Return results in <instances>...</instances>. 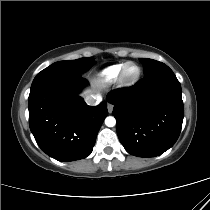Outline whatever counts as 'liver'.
Segmentation results:
<instances>
[{
  "label": "liver",
  "instance_id": "obj_1",
  "mask_svg": "<svg viewBox=\"0 0 210 210\" xmlns=\"http://www.w3.org/2000/svg\"><path fill=\"white\" fill-rule=\"evenodd\" d=\"M95 85H96V82H93V84L91 86V90L94 89ZM91 90L90 89L89 90H85L82 95L83 96H88L89 93L91 92Z\"/></svg>",
  "mask_w": 210,
  "mask_h": 210
}]
</instances>
